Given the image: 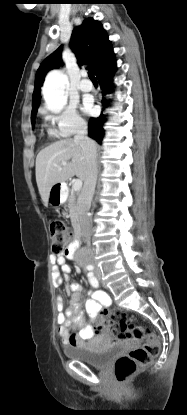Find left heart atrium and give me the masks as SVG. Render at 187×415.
<instances>
[{"label": "left heart atrium", "instance_id": "1", "mask_svg": "<svg viewBox=\"0 0 187 415\" xmlns=\"http://www.w3.org/2000/svg\"><path fill=\"white\" fill-rule=\"evenodd\" d=\"M84 109H85L87 112H90V111L92 110V104H91L89 101H87V102L85 103V105H84Z\"/></svg>", "mask_w": 187, "mask_h": 415}]
</instances>
